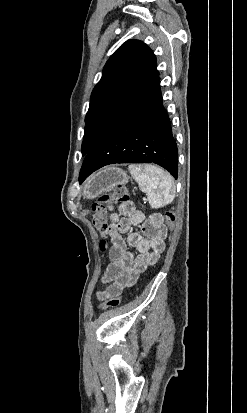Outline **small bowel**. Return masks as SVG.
Wrapping results in <instances>:
<instances>
[{
  "label": "small bowel",
  "instance_id": "obj_1",
  "mask_svg": "<svg viewBox=\"0 0 247 413\" xmlns=\"http://www.w3.org/2000/svg\"><path fill=\"white\" fill-rule=\"evenodd\" d=\"M109 215V235L111 248L109 251L110 263L106 267L103 281L109 284L104 291L95 293L98 300L120 299L125 292V286L135 284L139 275L154 266L160 253L165 249V228L163 221L145 220L143 213L132 202L120 204L117 209L107 205ZM152 224V233L148 232ZM139 227L141 232L131 231ZM127 233L126 241L122 235ZM128 247L136 249L133 255ZM120 278L125 279L118 280Z\"/></svg>",
  "mask_w": 247,
  "mask_h": 413
}]
</instances>
